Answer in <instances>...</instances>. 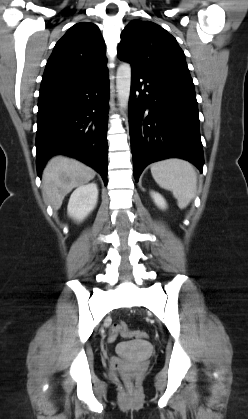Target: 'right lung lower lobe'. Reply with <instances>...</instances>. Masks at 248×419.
<instances>
[{
	"instance_id": "right-lung-lower-lobe-1",
	"label": "right lung lower lobe",
	"mask_w": 248,
	"mask_h": 419,
	"mask_svg": "<svg viewBox=\"0 0 248 419\" xmlns=\"http://www.w3.org/2000/svg\"><path fill=\"white\" fill-rule=\"evenodd\" d=\"M107 68L80 81L41 87L37 117V171L49 157L65 154L98 171L107 182Z\"/></svg>"
}]
</instances>
